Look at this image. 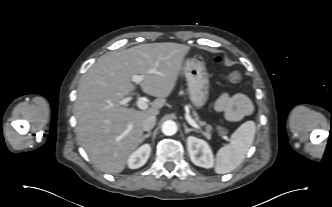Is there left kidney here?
<instances>
[{
	"mask_svg": "<svg viewBox=\"0 0 332 207\" xmlns=\"http://www.w3.org/2000/svg\"><path fill=\"white\" fill-rule=\"evenodd\" d=\"M187 149L191 161L203 168H212L214 165L213 153L208 143L194 136L187 138Z\"/></svg>",
	"mask_w": 332,
	"mask_h": 207,
	"instance_id": "obj_1",
	"label": "left kidney"
}]
</instances>
